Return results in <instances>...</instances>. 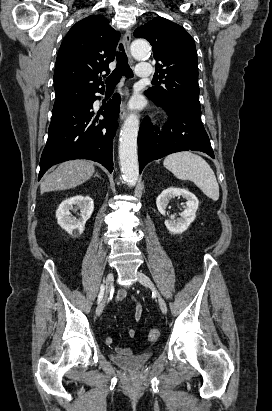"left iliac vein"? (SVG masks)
Listing matches in <instances>:
<instances>
[{
	"label": "left iliac vein",
	"instance_id": "1",
	"mask_svg": "<svg viewBox=\"0 0 272 411\" xmlns=\"http://www.w3.org/2000/svg\"><path fill=\"white\" fill-rule=\"evenodd\" d=\"M137 277H138V281L139 283H141L144 286H148L150 287L155 295L157 296L158 302H159V306L161 311L166 314L167 313V305L165 300L162 298V296L159 294L158 290L156 289V287L154 286L153 282L151 281V279L145 275L142 272H137Z\"/></svg>",
	"mask_w": 272,
	"mask_h": 411
}]
</instances>
